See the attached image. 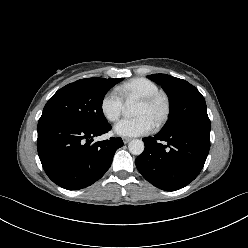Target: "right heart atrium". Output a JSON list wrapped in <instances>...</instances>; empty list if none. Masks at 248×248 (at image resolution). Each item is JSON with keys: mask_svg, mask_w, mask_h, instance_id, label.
Returning a JSON list of instances; mask_svg holds the SVG:
<instances>
[{"mask_svg": "<svg viewBox=\"0 0 248 248\" xmlns=\"http://www.w3.org/2000/svg\"><path fill=\"white\" fill-rule=\"evenodd\" d=\"M123 107L124 101L116 91L106 92L101 99V113L110 122H115L120 117Z\"/></svg>", "mask_w": 248, "mask_h": 248, "instance_id": "1", "label": "right heart atrium"}]
</instances>
